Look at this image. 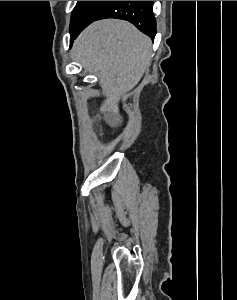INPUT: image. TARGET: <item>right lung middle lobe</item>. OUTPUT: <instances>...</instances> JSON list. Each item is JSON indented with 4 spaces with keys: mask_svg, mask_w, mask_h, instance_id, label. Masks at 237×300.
Masks as SVG:
<instances>
[{
    "mask_svg": "<svg viewBox=\"0 0 237 300\" xmlns=\"http://www.w3.org/2000/svg\"><path fill=\"white\" fill-rule=\"evenodd\" d=\"M113 1H78L70 21L71 44L73 37L95 21Z\"/></svg>",
    "mask_w": 237,
    "mask_h": 300,
    "instance_id": "right-lung-middle-lobe-1",
    "label": "right lung middle lobe"
}]
</instances>
